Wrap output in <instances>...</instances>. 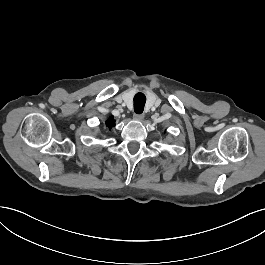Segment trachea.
Wrapping results in <instances>:
<instances>
[{
  "label": "trachea",
  "mask_w": 265,
  "mask_h": 265,
  "mask_svg": "<svg viewBox=\"0 0 265 265\" xmlns=\"http://www.w3.org/2000/svg\"><path fill=\"white\" fill-rule=\"evenodd\" d=\"M146 97L142 93H138L134 97V111L137 114H141L144 110Z\"/></svg>",
  "instance_id": "1"
}]
</instances>
